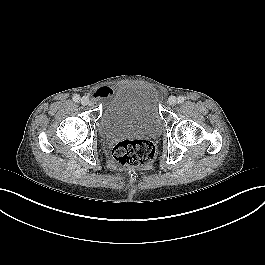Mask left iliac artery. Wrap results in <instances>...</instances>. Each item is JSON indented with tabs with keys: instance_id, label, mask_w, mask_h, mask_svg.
I'll use <instances>...</instances> for the list:
<instances>
[{
	"instance_id": "44dca946",
	"label": "left iliac artery",
	"mask_w": 265,
	"mask_h": 265,
	"mask_svg": "<svg viewBox=\"0 0 265 265\" xmlns=\"http://www.w3.org/2000/svg\"><path fill=\"white\" fill-rule=\"evenodd\" d=\"M184 100H185V98H184L183 96H179V97L177 98V102H178V103H183Z\"/></svg>"
}]
</instances>
